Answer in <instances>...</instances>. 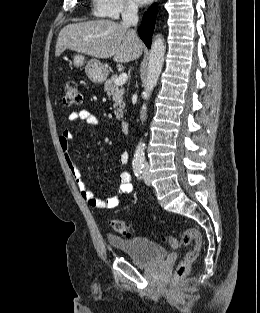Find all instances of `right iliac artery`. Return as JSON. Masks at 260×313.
<instances>
[{
	"label": "right iliac artery",
	"instance_id": "right-iliac-artery-1",
	"mask_svg": "<svg viewBox=\"0 0 260 313\" xmlns=\"http://www.w3.org/2000/svg\"><path fill=\"white\" fill-rule=\"evenodd\" d=\"M133 171L135 176L140 180L142 179L143 166L139 164L133 165Z\"/></svg>",
	"mask_w": 260,
	"mask_h": 313
}]
</instances>
